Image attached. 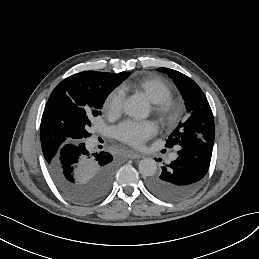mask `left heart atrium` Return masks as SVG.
<instances>
[{"label":"left heart atrium","instance_id":"39dd6f15","mask_svg":"<svg viewBox=\"0 0 259 259\" xmlns=\"http://www.w3.org/2000/svg\"><path fill=\"white\" fill-rule=\"evenodd\" d=\"M158 125L153 121L127 120L114 129L115 136L122 142L142 146L148 139L156 135Z\"/></svg>","mask_w":259,"mask_h":259}]
</instances>
